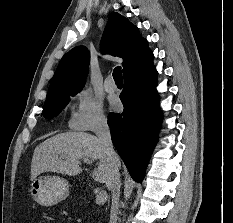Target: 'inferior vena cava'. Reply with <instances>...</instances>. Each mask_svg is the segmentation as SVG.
I'll return each mask as SVG.
<instances>
[{
  "mask_svg": "<svg viewBox=\"0 0 233 223\" xmlns=\"http://www.w3.org/2000/svg\"><path fill=\"white\" fill-rule=\"evenodd\" d=\"M98 135L99 143H101L102 149L106 151L109 157V165L112 167V179L108 183V189L111 191V213L109 223H117V211L119 209V197H120V173L118 167L119 157L113 149V143L111 139L110 127L107 123L106 117H101L98 121V127L96 131Z\"/></svg>",
  "mask_w": 233,
  "mask_h": 223,
  "instance_id": "obj_1",
  "label": "inferior vena cava"
}]
</instances>
